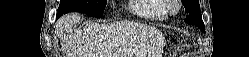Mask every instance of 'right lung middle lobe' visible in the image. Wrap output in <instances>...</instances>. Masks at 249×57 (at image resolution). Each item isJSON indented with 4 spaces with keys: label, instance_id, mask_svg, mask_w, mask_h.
<instances>
[{
    "label": "right lung middle lobe",
    "instance_id": "right-lung-middle-lobe-1",
    "mask_svg": "<svg viewBox=\"0 0 249 57\" xmlns=\"http://www.w3.org/2000/svg\"><path fill=\"white\" fill-rule=\"evenodd\" d=\"M107 0H61L58 14L81 12L100 18L103 15Z\"/></svg>",
    "mask_w": 249,
    "mask_h": 57
}]
</instances>
